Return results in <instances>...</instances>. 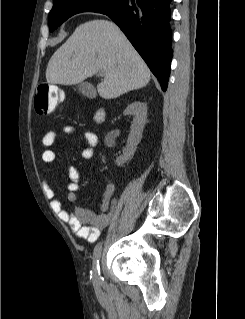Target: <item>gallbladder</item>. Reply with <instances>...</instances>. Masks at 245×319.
I'll return each instance as SVG.
<instances>
[{
  "label": "gallbladder",
  "mask_w": 245,
  "mask_h": 319,
  "mask_svg": "<svg viewBox=\"0 0 245 319\" xmlns=\"http://www.w3.org/2000/svg\"><path fill=\"white\" fill-rule=\"evenodd\" d=\"M78 91L85 97H95L96 96V90L94 86L89 82H81L77 86Z\"/></svg>",
  "instance_id": "gallbladder-1"
}]
</instances>
